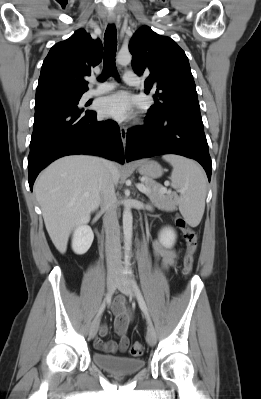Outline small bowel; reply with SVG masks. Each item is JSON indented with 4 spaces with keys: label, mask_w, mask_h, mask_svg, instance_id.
Instances as JSON below:
<instances>
[{
    "label": "small bowel",
    "mask_w": 261,
    "mask_h": 399,
    "mask_svg": "<svg viewBox=\"0 0 261 399\" xmlns=\"http://www.w3.org/2000/svg\"><path fill=\"white\" fill-rule=\"evenodd\" d=\"M154 255L162 261V264L168 268L172 266L177 258L176 251L164 245L162 241L155 240L153 243ZM112 312L115 316V331L119 337L117 343L113 341H103L109 328L106 324H102L99 329V338L95 340V346L105 353H115L117 351L125 352L129 347V338L127 335L128 327L132 321V316L125 305L123 297H119L112 306Z\"/></svg>",
    "instance_id": "c3829d8e"
}]
</instances>
